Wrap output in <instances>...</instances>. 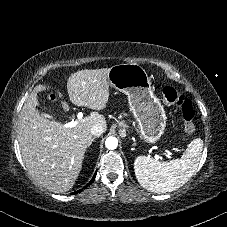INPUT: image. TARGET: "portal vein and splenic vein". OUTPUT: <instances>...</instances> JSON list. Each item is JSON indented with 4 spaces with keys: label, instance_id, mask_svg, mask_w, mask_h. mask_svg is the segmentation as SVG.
Masks as SVG:
<instances>
[{
    "label": "portal vein and splenic vein",
    "instance_id": "18ae733b",
    "mask_svg": "<svg viewBox=\"0 0 227 227\" xmlns=\"http://www.w3.org/2000/svg\"><path fill=\"white\" fill-rule=\"evenodd\" d=\"M77 118L80 120L83 118V113L79 112L77 115ZM77 121H71L69 123L64 124V128H73L74 126H76ZM166 156L170 158V156L172 155L169 151H166ZM160 157L158 155L155 156V159L158 160Z\"/></svg>",
    "mask_w": 227,
    "mask_h": 227
}]
</instances>
